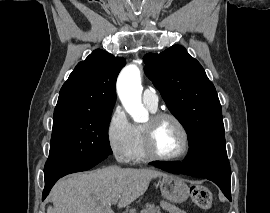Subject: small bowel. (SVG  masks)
Wrapping results in <instances>:
<instances>
[{
  "label": "small bowel",
  "instance_id": "c3829d8e",
  "mask_svg": "<svg viewBox=\"0 0 270 213\" xmlns=\"http://www.w3.org/2000/svg\"><path fill=\"white\" fill-rule=\"evenodd\" d=\"M163 209L167 212V213H188L187 211L179 208V207H176V206H173V205H170V204H164L163 205Z\"/></svg>",
  "mask_w": 270,
  "mask_h": 213
}]
</instances>
